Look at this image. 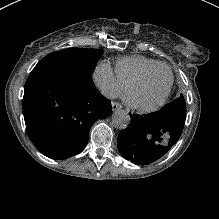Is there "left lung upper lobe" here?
<instances>
[{
    "label": "left lung upper lobe",
    "mask_w": 219,
    "mask_h": 219,
    "mask_svg": "<svg viewBox=\"0 0 219 219\" xmlns=\"http://www.w3.org/2000/svg\"><path fill=\"white\" fill-rule=\"evenodd\" d=\"M159 113L169 114L185 121L186 103L184 97L181 95L178 99L165 105Z\"/></svg>",
    "instance_id": "5c2ea615"
}]
</instances>
